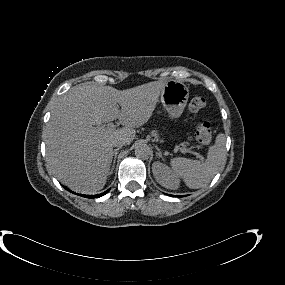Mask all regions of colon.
I'll use <instances>...</instances> for the list:
<instances>
[{
	"label": "colon",
	"mask_w": 285,
	"mask_h": 285,
	"mask_svg": "<svg viewBox=\"0 0 285 285\" xmlns=\"http://www.w3.org/2000/svg\"><path fill=\"white\" fill-rule=\"evenodd\" d=\"M206 100L202 95L194 94L190 98L189 109L196 116L203 115L205 113ZM196 139L203 145L208 146L212 141V129L210 123L202 121L196 128Z\"/></svg>",
	"instance_id": "5ec220e1"
}]
</instances>
